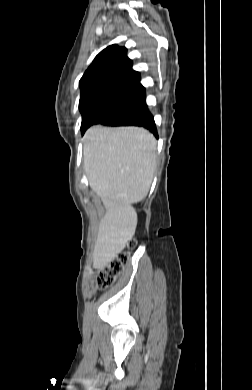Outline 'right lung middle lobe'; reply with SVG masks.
<instances>
[{
    "mask_svg": "<svg viewBox=\"0 0 252 390\" xmlns=\"http://www.w3.org/2000/svg\"><path fill=\"white\" fill-rule=\"evenodd\" d=\"M134 104L136 103L129 100H100L91 102L79 108L82 113V134L90 126L94 124H103L111 117L132 107Z\"/></svg>",
    "mask_w": 252,
    "mask_h": 390,
    "instance_id": "right-lung-middle-lobe-1",
    "label": "right lung middle lobe"
}]
</instances>
